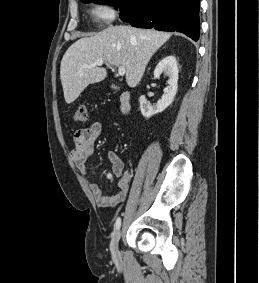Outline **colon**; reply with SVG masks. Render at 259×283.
Instances as JSON below:
<instances>
[{"label": "colon", "instance_id": "1", "mask_svg": "<svg viewBox=\"0 0 259 283\" xmlns=\"http://www.w3.org/2000/svg\"><path fill=\"white\" fill-rule=\"evenodd\" d=\"M74 118L77 122H85L87 121V109L84 105H80L76 108Z\"/></svg>", "mask_w": 259, "mask_h": 283}]
</instances>
